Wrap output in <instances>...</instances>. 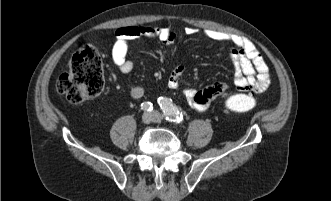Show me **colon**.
<instances>
[{"label":"colon","instance_id":"colon-1","mask_svg":"<svg viewBox=\"0 0 331 201\" xmlns=\"http://www.w3.org/2000/svg\"><path fill=\"white\" fill-rule=\"evenodd\" d=\"M104 85L101 58L90 46L81 47L75 52L69 69L56 81L57 91L71 104L97 97L103 92ZM224 106L230 112H247L257 106V99L250 92H243L227 97Z\"/></svg>","mask_w":331,"mask_h":201}]
</instances>
